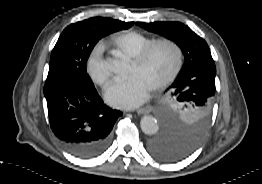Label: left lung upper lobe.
<instances>
[{"mask_svg": "<svg viewBox=\"0 0 262 184\" xmlns=\"http://www.w3.org/2000/svg\"><path fill=\"white\" fill-rule=\"evenodd\" d=\"M137 25L175 41L185 57L174 83L166 90L159 113L170 138L199 146L212 120L216 67L204 39L179 22Z\"/></svg>", "mask_w": 262, "mask_h": 184, "instance_id": "1", "label": "left lung upper lobe"}]
</instances>
